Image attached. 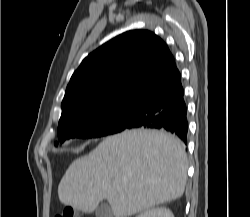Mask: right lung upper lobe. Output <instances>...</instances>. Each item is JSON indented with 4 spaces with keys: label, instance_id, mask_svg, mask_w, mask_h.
Segmentation results:
<instances>
[{
    "label": "right lung upper lobe",
    "instance_id": "1",
    "mask_svg": "<svg viewBox=\"0 0 250 217\" xmlns=\"http://www.w3.org/2000/svg\"><path fill=\"white\" fill-rule=\"evenodd\" d=\"M176 70L167 45L154 33L125 32L89 54L73 73L59 122L87 109L136 100Z\"/></svg>",
    "mask_w": 250,
    "mask_h": 217
}]
</instances>
